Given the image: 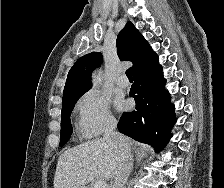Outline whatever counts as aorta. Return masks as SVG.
Segmentation results:
<instances>
[{"instance_id": "762f6f07", "label": "aorta", "mask_w": 224, "mask_h": 188, "mask_svg": "<svg viewBox=\"0 0 224 188\" xmlns=\"http://www.w3.org/2000/svg\"><path fill=\"white\" fill-rule=\"evenodd\" d=\"M92 80H93V83H94L95 86L98 85L99 82H100V73H95L93 75Z\"/></svg>"}]
</instances>
